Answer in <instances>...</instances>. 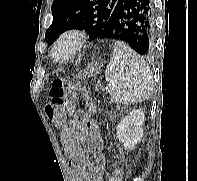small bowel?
Returning <instances> with one entry per match:
<instances>
[{
  "label": "small bowel",
  "instance_id": "c3829d8e",
  "mask_svg": "<svg viewBox=\"0 0 197 181\" xmlns=\"http://www.w3.org/2000/svg\"><path fill=\"white\" fill-rule=\"evenodd\" d=\"M61 141L74 181H102L105 167L104 141L98 123L88 118L83 111H77L76 118L64 125ZM88 154L94 156V163L84 160Z\"/></svg>",
  "mask_w": 197,
  "mask_h": 181
}]
</instances>
